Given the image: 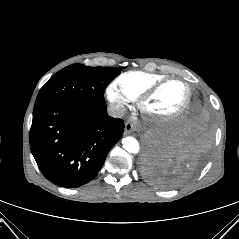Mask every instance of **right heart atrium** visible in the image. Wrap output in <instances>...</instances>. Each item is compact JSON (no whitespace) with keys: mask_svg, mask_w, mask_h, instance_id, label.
<instances>
[{"mask_svg":"<svg viewBox=\"0 0 239 239\" xmlns=\"http://www.w3.org/2000/svg\"><path fill=\"white\" fill-rule=\"evenodd\" d=\"M106 97L113 110L118 114L124 112L130 103L134 101L118 87L116 82H112L107 86Z\"/></svg>","mask_w":239,"mask_h":239,"instance_id":"right-heart-atrium-1","label":"right heart atrium"}]
</instances>
